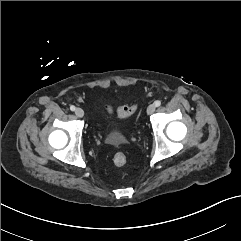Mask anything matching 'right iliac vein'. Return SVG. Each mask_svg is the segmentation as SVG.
<instances>
[{
    "mask_svg": "<svg viewBox=\"0 0 241 241\" xmlns=\"http://www.w3.org/2000/svg\"><path fill=\"white\" fill-rule=\"evenodd\" d=\"M75 114L77 117L82 118L84 116V111L81 108H76Z\"/></svg>",
    "mask_w": 241,
    "mask_h": 241,
    "instance_id": "1",
    "label": "right iliac vein"
}]
</instances>
